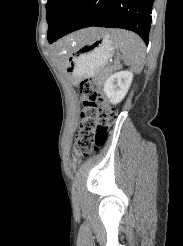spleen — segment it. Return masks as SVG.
<instances>
[{
  "mask_svg": "<svg viewBox=\"0 0 183 246\" xmlns=\"http://www.w3.org/2000/svg\"><path fill=\"white\" fill-rule=\"evenodd\" d=\"M110 35L115 46L121 49L125 64L140 73L145 62V44L142 39L135 33L122 29H113Z\"/></svg>",
  "mask_w": 183,
  "mask_h": 246,
  "instance_id": "spleen-1",
  "label": "spleen"
}]
</instances>
